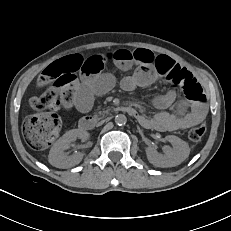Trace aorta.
Masks as SVG:
<instances>
[{"label":"aorta","instance_id":"762f6f07","mask_svg":"<svg viewBox=\"0 0 231 231\" xmlns=\"http://www.w3.org/2000/svg\"><path fill=\"white\" fill-rule=\"evenodd\" d=\"M127 122V118L125 115L123 114H118L115 116V123L118 125V126H123L125 125Z\"/></svg>","mask_w":231,"mask_h":231}]
</instances>
